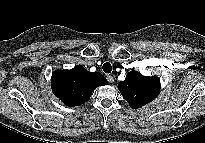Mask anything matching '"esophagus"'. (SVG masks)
Listing matches in <instances>:
<instances>
[{
  "mask_svg": "<svg viewBox=\"0 0 205 143\" xmlns=\"http://www.w3.org/2000/svg\"><path fill=\"white\" fill-rule=\"evenodd\" d=\"M107 80H108L109 83H113L114 82V78L111 75L107 76Z\"/></svg>",
  "mask_w": 205,
  "mask_h": 143,
  "instance_id": "1",
  "label": "esophagus"
}]
</instances>
